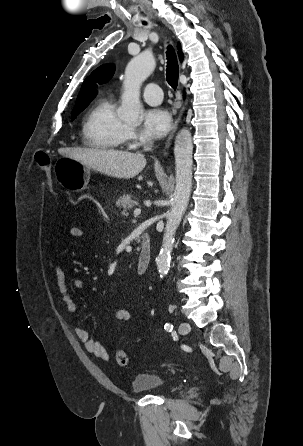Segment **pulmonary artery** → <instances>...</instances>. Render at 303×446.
<instances>
[{
    "instance_id": "e3ab8cb5",
    "label": "pulmonary artery",
    "mask_w": 303,
    "mask_h": 446,
    "mask_svg": "<svg viewBox=\"0 0 303 446\" xmlns=\"http://www.w3.org/2000/svg\"><path fill=\"white\" fill-rule=\"evenodd\" d=\"M143 98L150 105H158L163 98L162 90L157 84L149 83L143 89Z\"/></svg>"
}]
</instances>
